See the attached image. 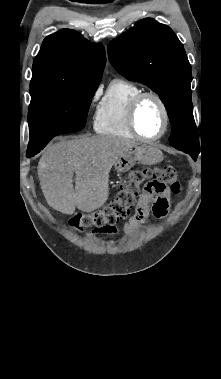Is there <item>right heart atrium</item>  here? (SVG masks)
<instances>
[{
  "label": "right heart atrium",
  "mask_w": 221,
  "mask_h": 379,
  "mask_svg": "<svg viewBox=\"0 0 221 379\" xmlns=\"http://www.w3.org/2000/svg\"><path fill=\"white\" fill-rule=\"evenodd\" d=\"M99 93H100V90H99V89L96 90V91L94 92L93 96H92V100L97 99V97L99 96Z\"/></svg>",
  "instance_id": "right-heart-atrium-1"
}]
</instances>
